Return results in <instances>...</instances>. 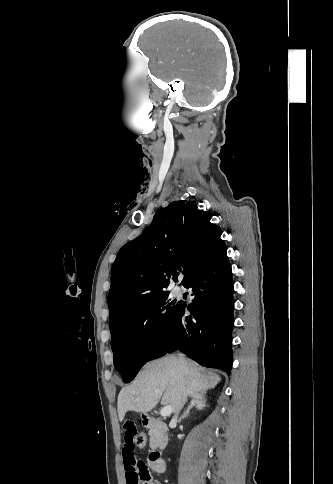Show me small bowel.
Returning a JSON list of instances; mask_svg holds the SVG:
<instances>
[{
  "instance_id": "obj_1",
  "label": "small bowel",
  "mask_w": 333,
  "mask_h": 484,
  "mask_svg": "<svg viewBox=\"0 0 333 484\" xmlns=\"http://www.w3.org/2000/svg\"><path fill=\"white\" fill-rule=\"evenodd\" d=\"M124 445L122 457L127 484H160L149 472L145 462L135 453L137 426L134 420L126 419L123 424Z\"/></svg>"
}]
</instances>
